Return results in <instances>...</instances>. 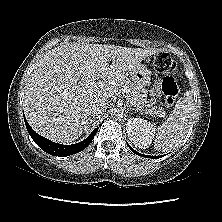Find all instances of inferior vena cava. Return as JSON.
<instances>
[{
	"instance_id": "1",
	"label": "inferior vena cava",
	"mask_w": 222,
	"mask_h": 222,
	"mask_svg": "<svg viewBox=\"0 0 222 222\" xmlns=\"http://www.w3.org/2000/svg\"><path fill=\"white\" fill-rule=\"evenodd\" d=\"M107 100L105 99H100L98 102H96L92 108H91V113L93 115H98V114H102L107 110Z\"/></svg>"
}]
</instances>
